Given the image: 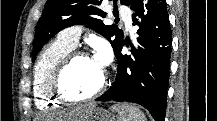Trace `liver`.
<instances>
[{"instance_id":"liver-1","label":"liver","mask_w":217,"mask_h":121,"mask_svg":"<svg viewBox=\"0 0 217 121\" xmlns=\"http://www.w3.org/2000/svg\"><path fill=\"white\" fill-rule=\"evenodd\" d=\"M95 108L94 106L91 107H85L83 109H81V111L79 112V114L77 116H79V118L76 117V119H79V121H84L86 115L93 109ZM71 117V114L69 115V119ZM68 118V114H65V116H60L58 119H60V121H62L63 119H67Z\"/></svg>"}]
</instances>
